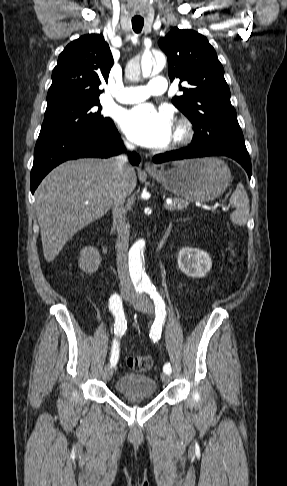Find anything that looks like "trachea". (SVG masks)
Returning <instances> with one entry per match:
<instances>
[{"mask_svg": "<svg viewBox=\"0 0 287 486\" xmlns=\"http://www.w3.org/2000/svg\"><path fill=\"white\" fill-rule=\"evenodd\" d=\"M144 25L143 19H132V28L135 33H140Z\"/></svg>", "mask_w": 287, "mask_h": 486, "instance_id": "trachea-1", "label": "trachea"}]
</instances>
